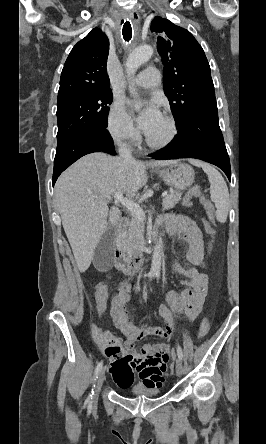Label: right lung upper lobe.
I'll return each instance as SVG.
<instances>
[{
    "label": "right lung upper lobe",
    "instance_id": "cb5924a9",
    "mask_svg": "<svg viewBox=\"0 0 266 444\" xmlns=\"http://www.w3.org/2000/svg\"><path fill=\"white\" fill-rule=\"evenodd\" d=\"M108 53L107 36L99 28H94L71 50L61 73L58 99L109 89Z\"/></svg>",
    "mask_w": 266,
    "mask_h": 444
}]
</instances>
